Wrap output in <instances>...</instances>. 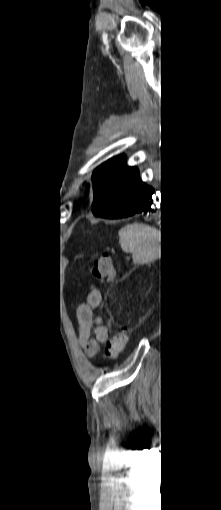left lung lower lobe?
<instances>
[{"label":"left lung lower lobe","instance_id":"obj_1","mask_svg":"<svg viewBox=\"0 0 221 510\" xmlns=\"http://www.w3.org/2000/svg\"><path fill=\"white\" fill-rule=\"evenodd\" d=\"M153 188L144 184L137 176L106 206L93 211L95 215L108 219H119L137 213L154 212L151 208Z\"/></svg>","mask_w":221,"mask_h":510}]
</instances>
